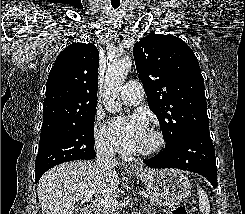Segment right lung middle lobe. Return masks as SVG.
Instances as JSON below:
<instances>
[{"mask_svg": "<svg viewBox=\"0 0 245 214\" xmlns=\"http://www.w3.org/2000/svg\"><path fill=\"white\" fill-rule=\"evenodd\" d=\"M95 114L96 109L75 124H69L49 134H41L35 173L45 172L67 161L92 159Z\"/></svg>", "mask_w": 245, "mask_h": 214, "instance_id": "right-lung-middle-lobe-1", "label": "right lung middle lobe"}]
</instances>
